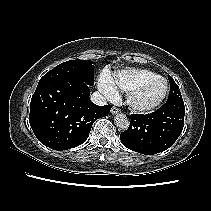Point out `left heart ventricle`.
Masks as SVG:
<instances>
[{
	"instance_id": "b2bd125f",
	"label": "left heart ventricle",
	"mask_w": 211,
	"mask_h": 211,
	"mask_svg": "<svg viewBox=\"0 0 211 211\" xmlns=\"http://www.w3.org/2000/svg\"><path fill=\"white\" fill-rule=\"evenodd\" d=\"M165 84L158 79L144 88L136 97V102L141 105H146L157 100L164 92Z\"/></svg>"
}]
</instances>
